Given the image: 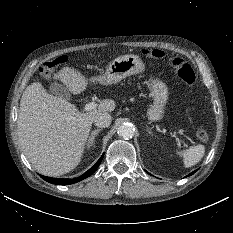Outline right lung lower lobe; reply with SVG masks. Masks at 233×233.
<instances>
[{
  "label": "right lung lower lobe",
  "mask_w": 233,
  "mask_h": 233,
  "mask_svg": "<svg viewBox=\"0 0 233 233\" xmlns=\"http://www.w3.org/2000/svg\"><path fill=\"white\" fill-rule=\"evenodd\" d=\"M104 154L101 156V158L94 164V166L89 169L85 174H83L82 176L78 177V178H74V179H61V178H50V177H46V176H41L45 181L52 183V184H57V185H67V184H73L76 182H79L87 177H89L90 175H92L96 169L98 168L99 164L101 163L102 159H103Z\"/></svg>",
  "instance_id": "98d812e1"
}]
</instances>
